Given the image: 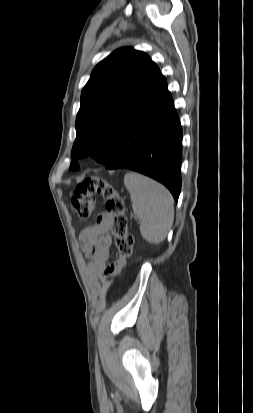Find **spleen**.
Masks as SVG:
<instances>
[{"instance_id": "obj_1", "label": "spleen", "mask_w": 253, "mask_h": 413, "mask_svg": "<svg viewBox=\"0 0 253 413\" xmlns=\"http://www.w3.org/2000/svg\"><path fill=\"white\" fill-rule=\"evenodd\" d=\"M124 184L130 193L134 214L141 220V236L149 243L163 242L174 221V200L160 183L128 172Z\"/></svg>"}]
</instances>
